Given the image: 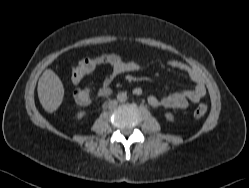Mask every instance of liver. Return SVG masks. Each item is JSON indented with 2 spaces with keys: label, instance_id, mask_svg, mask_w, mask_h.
Returning a JSON list of instances; mask_svg holds the SVG:
<instances>
[{
  "label": "liver",
  "instance_id": "6515ba94",
  "mask_svg": "<svg viewBox=\"0 0 249 188\" xmlns=\"http://www.w3.org/2000/svg\"><path fill=\"white\" fill-rule=\"evenodd\" d=\"M38 98L45 111H56L64 98V86L58 75L46 69L38 81Z\"/></svg>",
  "mask_w": 249,
  "mask_h": 188
}]
</instances>
